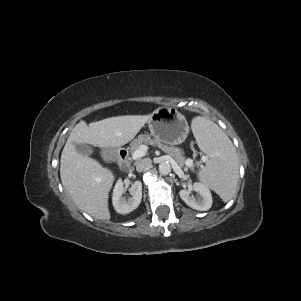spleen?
I'll use <instances>...</instances> for the list:
<instances>
[{
	"instance_id": "spleen-1",
	"label": "spleen",
	"mask_w": 301,
	"mask_h": 301,
	"mask_svg": "<svg viewBox=\"0 0 301 301\" xmlns=\"http://www.w3.org/2000/svg\"><path fill=\"white\" fill-rule=\"evenodd\" d=\"M192 131L201 150L209 159L198 173L199 180L229 201L237 187L239 162L228 136L214 122L198 116L192 120Z\"/></svg>"
}]
</instances>
